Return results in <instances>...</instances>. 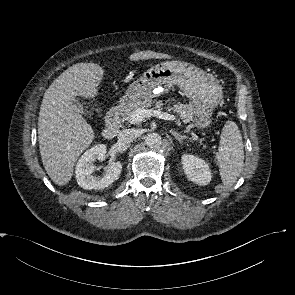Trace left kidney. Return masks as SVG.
I'll return each instance as SVG.
<instances>
[{
    "mask_svg": "<svg viewBox=\"0 0 295 295\" xmlns=\"http://www.w3.org/2000/svg\"><path fill=\"white\" fill-rule=\"evenodd\" d=\"M181 161L189 180L198 185H207L211 181L209 165L203 159L191 154H183Z\"/></svg>",
    "mask_w": 295,
    "mask_h": 295,
    "instance_id": "1",
    "label": "left kidney"
}]
</instances>
